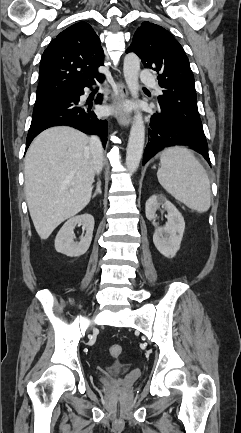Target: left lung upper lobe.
<instances>
[{"label": "left lung upper lobe", "instance_id": "left-lung-upper-lobe-1", "mask_svg": "<svg viewBox=\"0 0 241 433\" xmlns=\"http://www.w3.org/2000/svg\"><path fill=\"white\" fill-rule=\"evenodd\" d=\"M136 53L145 68L158 73L163 94L159 108L168 111L195 133L205 137L197 108L194 76L179 42L163 27L143 22L126 51Z\"/></svg>", "mask_w": 241, "mask_h": 433}]
</instances>
